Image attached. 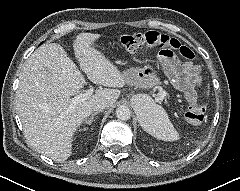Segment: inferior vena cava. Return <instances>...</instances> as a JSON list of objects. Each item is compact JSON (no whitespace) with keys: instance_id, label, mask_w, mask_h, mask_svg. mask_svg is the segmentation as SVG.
I'll list each match as a JSON object with an SVG mask.
<instances>
[{"instance_id":"602c4592","label":"inferior vena cava","mask_w":240,"mask_h":191,"mask_svg":"<svg viewBox=\"0 0 240 191\" xmlns=\"http://www.w3.org/2000/svg\"><path fill=\"white\" fill-rule=\"evenodd\" d=\"M108 106H109L108 102L100 100V101H96L95 103H93L92 110L100 112V111L104 110L105 108H107Z\"/></svg>"}]
</instances>
